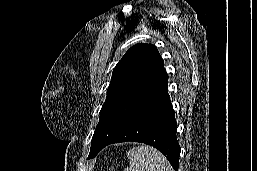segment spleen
<instances>
[{"label":"spleen","instance_id":"3e777b00","mask_svg":"<svg viewBox=\"0 0 257 171\" xmlns=\"http://www.w3.org/2000/svg\"><path fill=\"white\" fill-rule=\"evenodd\" d=\"M130 166L124 171H174L167 159L155 148L137 146L127 153Z\"/></svg>","mask_w":257,"mask_h":171}]
</instances>
